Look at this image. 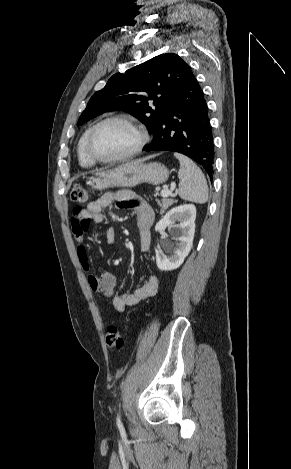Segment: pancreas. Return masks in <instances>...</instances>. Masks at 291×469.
<instances>
[{"label":"pancreas","mask_w":291,"mask_h":469,"mask_svg":"<svg viewBox=\"0 0 291 469\" xmlns=\"http://www.w3.org/2000/svg\"><path fill=\"white\" fill-rule=\"evenodd\" d=\"M176 201L174 199H168V198H163L161 201H158V205L161 207L160 212L164 213L165 210L168 209L172 204H174Z\"/></svg>","instance_id":"obj_1"}]
</instances>
